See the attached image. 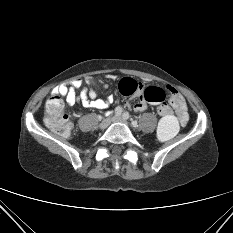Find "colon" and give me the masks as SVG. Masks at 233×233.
I'll list each match as a JSON object with an SVG mask.
<instances>
[{
  "instance_id": "obj_1",
  "label": "colon",
  "mask_w": 233,
  "mask_h": 233,
  "mask_svg": "<svg viewBox=\"0 0 233 233\" xmlns=\"http://www.w3.org/2000/svg\"><path fill=\"white\" fill-rule=\"evenodd\" d=\"M119 90L123 95L137 94L147 102L162 104L159 109L161 120L157 129L158 138L166 142L175 137L179 129V119L165 105L166 93L162 88L148 87L144 89L141 83L126 78L121 80ZM44 121L53 132L60 136L68 137L71 134L72 124L64 112L63 102L58 94H53L47 101Z\"/></svg>"
}]
</instances>
